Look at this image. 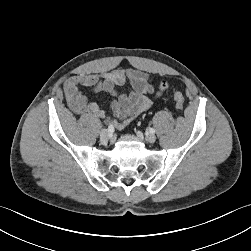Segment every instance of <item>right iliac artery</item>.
I'll list each match as a JSON object with an SVG mask.
<instances>
[{
	"instance_id": "right-iliac-artery-1",
	"label": "right iliac artery",
	"mask_w": 251,
	"mask_h": 251,
	"mask_svg": "<svg viewBox=\"0 0 251 251\" xmlns=\"http://www.w3.org/2000/svg\"><path fill=\"white\" fill-rule=\"evenodd\" d=\"M108 131H109L110 133L114 131V126H113L112 124H110V125L108 126Z\"/></svg>"
}]
</instances>
